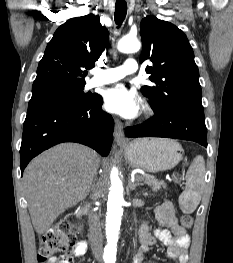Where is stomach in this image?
I'll use <instances>...</instances> for the list:
<instances>
[{"instance_id": "stomach-1", "label": "stomach", "mask_w": 233, "mask_h": 263, "mask_svg": "<svg viewBox=\"0 0 233 263\" xmlns=\"http://www.w3.org/2000/svg\"><path fill=\"white\" fill-rule=\"evenodd\" d=\"M128 163L148 172H159L175 167L182 159V146L171 139L142 138L124 147Z\"/></svg>"}]
</instances>
